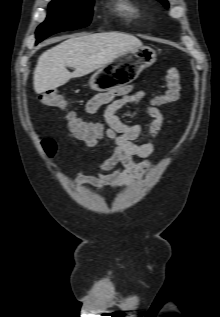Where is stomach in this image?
<instances>
[{
  "mask_svg": "<svg viewBox=\"0 0 220 317\" xmlns=\"http://www.w3.org/2000/svg\"><path fill=\"white\" fill-rule=\"evenodd\" d=\"M156 61V53L149 47L127 51L90 78L89 86L95 91H109L133 82L143 69Z\"/></svg>",
  "mask_w": 220,
  "mask_h": 317,
  "instance_id": "0dacf381",
  "label": "stomach"
}]
</instances>
